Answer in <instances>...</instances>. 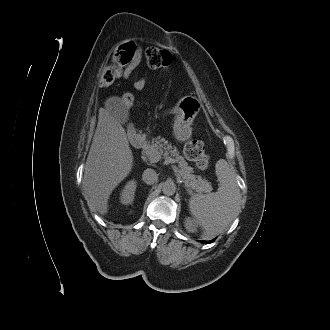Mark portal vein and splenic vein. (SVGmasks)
<instances>
[{
	"label": "portal vein and splenic vein",
	"mask_w": 330,
	"mask_h": 330,
	"mask_svg": "<svg viewBox=\"0 0 330 330\" xmlns=\"http://www.w3.org/2000/svg\"><path fill=\"white\" fill-rule=\"evenodd\" d=\"M160 160V157L159 156H156V155H152L151 156V159H150V162L151 163H156V162H158ZM168 162L169 163H172L173 162V159H171V158H169L168 159ZM172 168H173V170H174V172L177 174V178H179V170H178V168L176 167V166H172Z\"/></svg>",
	"instance_id": "portal-vein-and-splenic-vein-1"
}]
</instances>
